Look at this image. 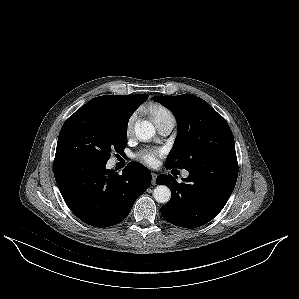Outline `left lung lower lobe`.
<instances>
[{"mask_svg":"<svg viewBox=\"0 0 299 299\" xmlns=\"http://www.w3.org/2000/svg\"><path fill=\"white\" fill-rule=\"evenodd\" d=\"M186 170L189 176L183 183H177L171 175L157 177V184L172 191L161 214L171 224L196 228L216 217L227 203L238 176L237 157L206 160Z\"/></svg>","mask_w":299,"mask_h":299,"instance_id":"0a47b994","label":"left lung lower lobe"}]
</instances>
